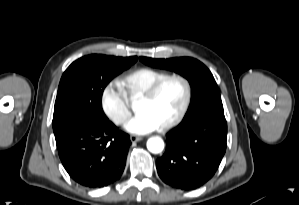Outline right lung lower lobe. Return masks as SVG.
I'll return each mask as SVG.
<instances>
[{
    "label": "right lung lower lobe",
    "instance_id": "1",
    "mask_svg": "<svg viewBox=\"0 0 299 205\" xmlns=\"http://www.w3.org/2000/svg\"><path fill=\"white\" fill-rule=\"evenodd\" d=\"M130 144L129 136L109 120L79 122L56 138L64 168L73 180L89 188L120 179Z\"/></svg>",
    "mask_w": 299,
    "mask_h": 205
}]
</instances>
